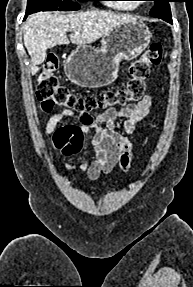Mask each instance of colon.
Segmentation results:
<instances>
[{
  "label": "colon",
  "mask_w": 193,
  "mask_h": 287,
  "mask_svg": "<svg viewBox=\"0 0 193 287\" xmlns=\"http://www.w3.org/2000/svg\"><path fill=\"white\" fill-rule=\"evenodd\" d=\"M162 55V45L153 43L129 66L130 78L124 87L79 96L60 82L58 57L55 53H49L37 79L36 95L44 111H50L54 107L75 111L80 116L81 125L90 127L107 110L140 100L145 92L150 67L160 64Z\"/></svg>",
  "instance_id": "colon-1"
}]
</instances>
